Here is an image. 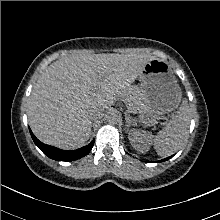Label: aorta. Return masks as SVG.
<instances>
[{
  "label": "aorta",
  "instance_id": "1",
  "mask_svg": "<svg viewBox=\"0 0 220 220\" xmlns=\"http://www.w3.org/2000/svg\"><path fill=\"white\" fill-rule=\"evenodd\" d=\"M107 120L110 123H116L118 120V114L114 111H111L107 114Z\"/></svg>",
  "mask_w": 220,
  "mask_h": 220
}]
</instances>
